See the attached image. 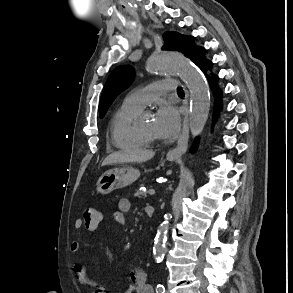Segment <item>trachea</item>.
<instances>
[{"instance_id": "obj_1", "label": "trachea", "mask_w": 293, "mask_h": 293, "mask_svg": "<svg viewBox=\"0 0 293 293\" xmlns=\"http://www.w3.org/2000/svg\"><path fill=\"white\" fill-rule=\"evenodd\" d=\"M177 92L178 93H183V90L181 88H178Z\"/></svg>"}]
</instances>
